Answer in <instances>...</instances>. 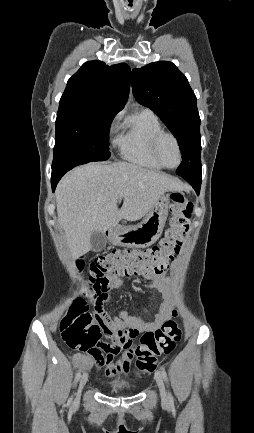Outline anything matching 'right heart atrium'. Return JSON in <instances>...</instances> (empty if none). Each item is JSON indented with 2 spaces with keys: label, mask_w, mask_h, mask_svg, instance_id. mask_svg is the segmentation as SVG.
<instances>
[{
  "label": "right heart atrium",
  "mask_w": 254,
  "mask_h": 433,
  "mask_svg": "<svg viewBox=\"0 0 254 433\" xmlns=\"http://www.w3.org/2000/svg\"><path fill=\"white\" fill-rule=\"evenodd\" d=\"M117 118H118V117H116V118L114 119V122L117 120ZM114 128H115V124L112 125V127H111V131H113Z\"/></svg>",
  "instance_id": "obj_1"
}]
</instances>
